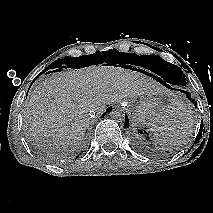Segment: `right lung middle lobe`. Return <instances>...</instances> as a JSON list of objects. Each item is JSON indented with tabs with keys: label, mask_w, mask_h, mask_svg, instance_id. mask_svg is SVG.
<instances>
[{
	"label": "right lung middle lobe",
	"mask_w": 213,
	"mask_h": 213,
	"mask_svg": "<svg viewBox=\"0 0 213 213\" xmlns=\"http://www.w3.org/2000/svg\"><path fill=\"white\" fill-rule=\"evenodd\" d=\"M127 53L119 52L116 49L109 50V51H97L96 53L92 55H84L80 57H65L64 59H58L54 61L48 68V69H58L63 68L65 66L71 67V68H82L87 67L90 65H93L94 62L96 63H103V62H117L119 63V60L124 58Z\"/></svg>",
	"instance_id": "dd1d6c3e"
}]
</instances>
